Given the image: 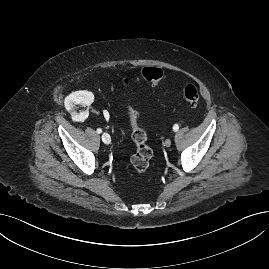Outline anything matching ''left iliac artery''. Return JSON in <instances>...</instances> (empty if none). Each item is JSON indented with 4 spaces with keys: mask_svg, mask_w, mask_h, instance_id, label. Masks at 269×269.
Returning <instances> with one entry per match:
<instances>
[{
    "mask_svg": "<svg viewBox=\"0 0 269 269\" xmlns=\"http://www.w3.org/2000/svg\"><path fill=\"white\" fill-rule=\"evenodd\" d=\"M178 129H179V126H178L177 124H175V125L173 126V130L176 132V131H178Z\"/></svg>",
    "mask_w": 269,
    "mask_h": 269,
    "instance_id": "1",
    "label": "left iliac artery"
}]
</instances>
